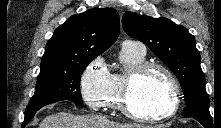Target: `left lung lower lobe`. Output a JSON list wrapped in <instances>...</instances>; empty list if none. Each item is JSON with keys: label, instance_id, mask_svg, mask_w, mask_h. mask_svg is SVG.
Listing matches in <instances>:
<instances>
[{"label": "left lung lower lobe", "instance_id": "1", "mask_svg": "<svg viewBox=\"0 0 221 128\" xmlns=\"http://www.w3.org/2000/svg\"><path fill=\"white\" fill-rule=\"evenodd\" d=\"M199 121L205 128H213L215 125V122L213 124L212 118H203V117H192Z\"/></svg>", "mask_w": 221, "mask_h": 128}]
</instances>
